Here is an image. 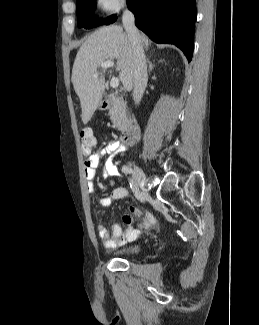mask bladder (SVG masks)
Wrapping results in <instances>:
<instances>
[{
    "instance_id": "31cf9c89",
    "label": "bladder",
    "mask_w": 259,
    "mask_h": 325,
    "mask_svg": "<svg viewBox=\"0 0 259 325\" xmlns=\"http://www.w3.org/2000/svg\"><path fill=\"white\" fill-rule=\"evenodd\" d=\"M139 250V245H129L115 250L113 255L116 257H133L138 254Z\"/></svg>"
}]
</instances>
